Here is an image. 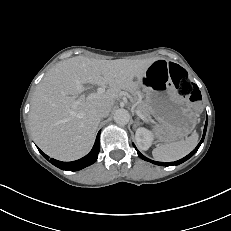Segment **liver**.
I'll return each mask as SVG.
<instances>
[{"label":"liver","mask_w":231,"mask_h":231,"mask_svg":"<svg viewBox=\"0 0 231 231\" xmlns=\"http://www.w3.org/2000/svg\"><path fill=\"white\" fill-rule=\"evenodd\" d=\"M160 58L97 60L76 56L51 68L36 88L29 123L37 146L61 161L85 156L100 122L97 109H111L122 90L141 88L146 69ZM109 85L100 96L83 95V84Z\"/></svg>","instance_id":"obj_1"}]
</instances>
